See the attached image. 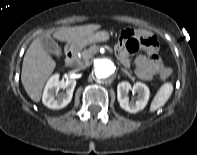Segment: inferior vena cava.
<instances>
[{"label": "inferior vena cava", "instance_id": "1", "mask_svg": "<svg viewBox=\"0 0 197 155\" xmlns=\"http://www.w3.org/2000/svg\"><path fill=\"white\" fill-rule=\"evenodd\" d=\"M84 68H85V64L79 65V69H84Z\"/></svg>", "mask_w": 197, "mask_h": 155}]
</instances>
